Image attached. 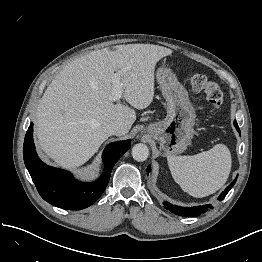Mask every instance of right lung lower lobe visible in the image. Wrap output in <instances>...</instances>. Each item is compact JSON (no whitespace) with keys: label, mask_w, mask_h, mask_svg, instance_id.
<instances>
[{"label":"right lung lower lobe","mask_w":262,"mask_h":262,"mask_svg":"<svg viewBox=\"0 0 262 262\" xmlns=\"http://www.w3.org/2000/svg\"><path fill=\"white\" fill-rule=\"evenodd\" d=\"M33 123L25 135L23 157L25 165L41 197L50 204L67 209L78 210L92 205L105 190L115 163L130 148V140L109 144L102 155L104 171L93 183L76 181L64 170L47 166L36 154L33 143Z\"/></svg>","instance_id":"obj_1"}]
</instances>
